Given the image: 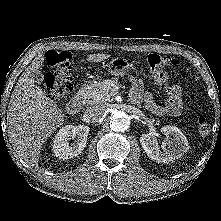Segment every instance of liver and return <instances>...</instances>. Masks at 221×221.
<instances>
[{"instance_id": "1", "label": "liver", "mask_w": 221, "mask_h": 221, "mask_svg": "<svg viewBox=\"0 0 221 221\" xmlns=\"http://www.w3.org/2000/svg\"><path fill=\"white\" fill-rule=\"evenodd\" d=\"M108 54H89L87 61L101 62ZM38 55L19 77L8 111V137L16 153L30 166H36L40 150L50 135L64 123L62 110L35 83L33 74L44 65Z\"/></svg>"}]
</instances>
